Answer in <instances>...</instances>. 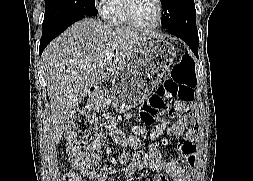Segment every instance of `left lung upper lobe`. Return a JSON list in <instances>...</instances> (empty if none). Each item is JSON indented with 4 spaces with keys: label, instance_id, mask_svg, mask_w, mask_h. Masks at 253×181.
<instances>
[{
    "label": "left lung upper lobe",
    "instance_id": "left-lung-upper-lobe-1",
    "mask_svg": "<svg viewBox=\"0 0 253 181\" xmlns=\"http://www.w3.org/2000/svg\"><path fill=\"white\" fill-rule=\"evenodd\" d=\"M164 15L161 24L165 29L197 33L194 0H161Z\"/></svg>",
    "mask_w": 253,
    "mask_h": 181
}]
</instances>
